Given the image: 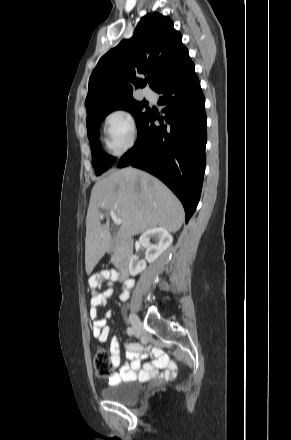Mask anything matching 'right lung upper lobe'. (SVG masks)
<instances>
[{"label": "right lung upper lobe", "mask_w": 291, "mask_h": 440, "mask_svg": "<svg viewBox=\"0 0 291 440\" xmlns=\"http://www.w3.org/2000/svg\"><path fill=\"white\" fill-rule=\"evenodd\" d=\"M169 17L159 13L141 18L133 37L122 40L98 61L89 79L86 111L133 97L146 85L155 91L170 78L192 66L182 35ZM141 75L147 76L145 79Z\"/></svg>", "instance_id": "obj_1"}]
</instances>
